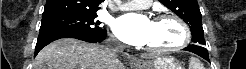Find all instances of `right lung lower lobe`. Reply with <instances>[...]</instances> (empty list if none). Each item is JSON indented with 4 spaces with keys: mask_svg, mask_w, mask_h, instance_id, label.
<instances>
[{
    "mask_svg": "<svg viewBox=\"0 0 246 69\" xmlns=\"http://www.w3.org/2000/svg\"><path fill=\"white\" fill-rule=\"evenodd\" d=\"M107 36L105 29L95 33L81 32L76 30H45L40 31L37 44L35 47V55L49 43L61 38H76L87 42H102Z\"/></svg>",
    "mask_w": 246,
    "mask_h": 69,
    "instance_id": "1",
    "label": "right lung lower lobe"
}]
</instances>
